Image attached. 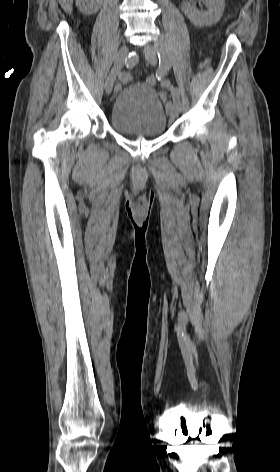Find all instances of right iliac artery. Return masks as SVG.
Returning a JSON list of instances; mask_svg holds the SVG:
<instances>
[{"instance_id": "obj_1", "label": "right iliac artery", "mask_w": 280, "mask_h": 472, "mask_svg": "<svg viewBox=\"0 0 280 472\" xmlns=\"http://www.w3.org/2000/svg\"><path fill=\"white\" fill-rule=\"evenodd\" d=\"M138 61L139 56L135 52L130 53L125 59L126 68L131 70L135 65H137ZM118 77L122 82H127L130 80L131 75L128 71H122L118 73Z\"/></svg>"}]
</instances>
